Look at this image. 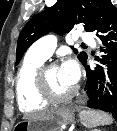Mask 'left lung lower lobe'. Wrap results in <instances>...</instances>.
<instances>
[{
	"instance_id": "0a47b994",
	"label": "left lung lower lobe",
	"mask_w": 117,
	"mask_h": 131,
	"mask_svg": "<svg viewBox=\"0 0 117 131\" xmlns=\"http://www.w3.org/2000/svg\"><path fill=\"white\" fill-rule=\"evenodd\" d=\"M94 32L102 45L103 55L99 60L104 67L97 65L91 68L86 66V62L83 64L87 75V106L109 112L117 121V10L111 1L106 5ZM105 77L109 79V91L103 94Z\"/></svg>"
}]
</instances>
